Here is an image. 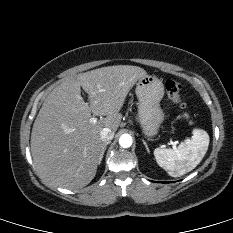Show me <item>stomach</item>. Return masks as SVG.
<instances>
[{"instance_id":"stomach-1","label":"stomach","mask_w":233,"mask_h":233,"mask_svg":"<svg viewBox=\"0 0 233 233\" xmlns=\"http://www.w3.org/2000/svg\"><path fill=\"white\" fill-rule=\"evenodd\" d=\"M138 98V119L142 132L147 137L155 136L165 115L160 106L164 96V86L160 79L146 75L140 78L135 89Z\"/></svg>"}]
</instances>
